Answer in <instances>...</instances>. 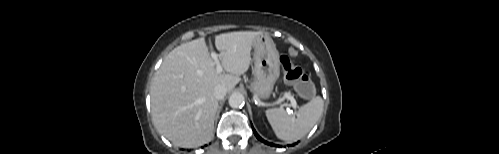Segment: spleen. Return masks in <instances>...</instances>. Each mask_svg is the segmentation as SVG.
I'll return each instance as SVG.
<instances>
[{"mask_svg": "<svg viewBox=\"0 0 499 154\" xmlns=\"http://www.w3.org/2000/svg\"><path fill=\"white\" fill-rule=\"evenodd\" d=\"M324 102L320 96L314 97L299 108L297 116L282 108L265 111L275 135L287 142H295L309 133L323 112Z\"/></svg>", "mask_w": 499, "mask_h": 154, "instance_id": "spleen-1", "label": "spleen"}]
</instances>
